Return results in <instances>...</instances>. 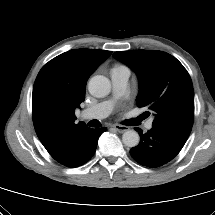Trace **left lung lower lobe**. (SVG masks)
Returning <instances> with one entry per match:
<instances>
[{
	"label": "left lung lower lobe",
	"mask_w": 215,
	"mask_h": 215,
	"mask_svg": "<svg viewBox=\"0 0 215 215\" xmlns=\"http://www.w3.org/2000/svg\"><path fill=\"white\" fill-rule=\"evenodd\" d=\"M140 135V143L131 148V156L141 165L159 167L171 161L182 149V143L167 132L152 127L147 133L135 128Z\"/></svg>",
	"instance_id": "left-lung-lower-lobe-1"
}]
</instances>
